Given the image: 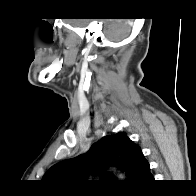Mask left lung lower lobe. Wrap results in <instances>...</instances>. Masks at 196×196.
I'll list each match as a JSON object with an SVG mask.
<instances>
[{"label": "left lung lower lobe", "mask_w": 196, "mask_h": 196, "mask_svg": "<svg viewBox=\"0 0 196 196\" xmlns=\"http://www.w3.org/2000/svg\"><path fill=\"white\" fill-rule=\"evenodd\" d=\"M152 180H154V178L150 173V165L147 161H145L139 167L134 182L144 183Z\"/></svg>", "instance_id": "left-lung-lower-lobe-1"}]
</instances>
